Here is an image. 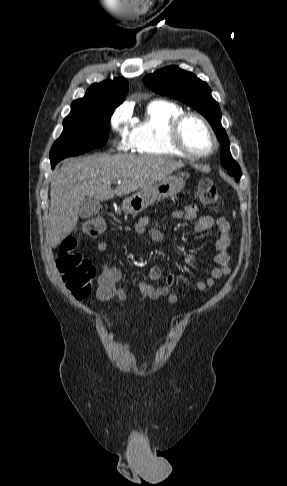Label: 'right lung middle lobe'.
I'll return each instance as SVG.
<instances>
[{
    "mask_svg": "<svg viewBox=\"0 0 287 486\" xmlns=\"http://www.w3.org/2000/svg\"><path fill=\"white\" fill-rule=\"evenodd\" d=\"M114 110L104 107L71 108L64 119V130L50 151L51 165L73 155L103 146Z\"/></svg>",
    "mask_w": 287,
    "mask_h": 486,
    "instance_id": "1",
    "label": "right lung middle lobe"
}]
</instances>
